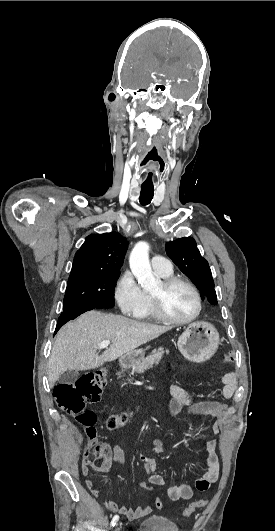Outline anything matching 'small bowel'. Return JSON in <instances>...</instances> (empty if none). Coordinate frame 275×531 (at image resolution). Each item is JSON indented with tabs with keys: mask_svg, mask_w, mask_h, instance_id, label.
Instances as JSON below:
<instances>
[{
	"mask_svg": "<svg viewBox=\"0 0 275 531\" xmlns=\"http://www.w3.org/2000/svg\"><path fill=\"white\" fill-rule=\"evenodd\" d=\"M222 388L220 395L224 399L233 397L237 387V375L234 372L226 373L221 378ZM171 400L169 404L170 413L176 418H180L183 414L184 408H187L188 414L196 417H211V432L217 435L220 431L221 418L226 409V405L217 401H194L192 394L180 386L173 384L170 387ZM152 451L160 454L164 451V444L161 439H154L152 441ZM206 451V471L201 478L196 480L194 487L188 484L179 486H170L167 489V495L172 501L189 500L193 497L194 489L197 491H206L217 480L220 470V462L218 456V442L216 438L207 440L205 444ZM113 458L123 463L125 455L119 446H115L112 450ZM140 463L144 467L148 478H151L152 483H157L158 486L164 485V478L157 473L156 461L153 457L140 454ZM91 470V469H90ZM90 473V472H89ZM94 497L101 495L100 489L93 485L88 488ZM104 507L113 513H118L125 516L128 520H136L149 515L152 511L150 505H141L135 509H127L125 506L119 505L115 501H106L103 503Z\"/></svg>",
	"mask_w": 275,
	"mask_h": 531,
	"instance_id": "c3829d8e",
	"label": "small bowel"
}]
</instances>
